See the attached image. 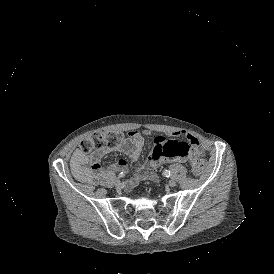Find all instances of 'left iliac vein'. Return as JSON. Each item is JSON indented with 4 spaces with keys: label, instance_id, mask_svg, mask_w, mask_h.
Here are the masks:
<instances>
[{
    "label": "left iliac vein",
    "instance_id": "obj_1",
    "mask_svg": "<svg viewBox=\"0 0 274 274\" xmlns=\"http://www.w3.org/2000/svg\"><path fill=\"white\" fill-rule=\"evenodd\" d=\"M176 184H177V181H176L175 179H171V180L168 182V186H170V187H174V186H176Z\"/></svg>",
    "mask_w": 274,
    "mask_h": 274
}]
</instances>
